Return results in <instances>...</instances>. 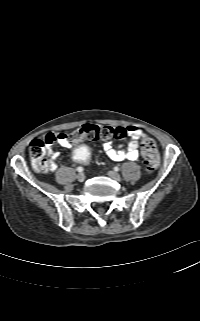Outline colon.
<instances>
[{
  "instance_id": "colon-1",
  "label": "colon",
  "mask_w": 200,
  "mask_h": 321,
  "mask_svg": "<svg viewBox=\"0 0 200 321\" xmlns=\"http://www.w3.org/2000/svg\"><path fill=\"white\" fill-rule=\"evenodd\" d=\"M125 135L123 128H113L101 125H83L74 130L69 138L73 143L84 140H108L111 138L121 139ZM55 137L51 134L43 139H34L29 146V154L34 169L38 172L50 170L51 162L47 158V146L54 141ZM141 155L147 172L154 171L159 165V152L154 141L147 139L142 143ZM90 157V149L85 144H76L71 149L70 161L75 166H80L87 162Z\"/></svg>"
}]
</instances>
